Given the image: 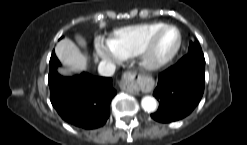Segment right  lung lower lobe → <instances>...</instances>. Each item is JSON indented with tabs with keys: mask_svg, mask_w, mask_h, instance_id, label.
Masks as SVG:
<instances>
[{
	"mask_svg": "<svg viewBox=\"0 0 247 145\" xmlns=\"http://www.w3.org/2000/svg\"><path fill=\"white\" fill-rule=\"evenodd\" d=\"M60 65L55 53L50 59L48 83L53 107L66 122L84 129H95L105 124L109 105L116 91L112 79L79 76L63 77L56 68Z\"/></svg>",
	"mask_w": 247,
	"mask_h": 145,
	"instance_id": "98d812e1",
	"label": "right lung lower lobe"
}]
</instances>
